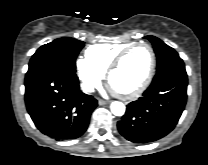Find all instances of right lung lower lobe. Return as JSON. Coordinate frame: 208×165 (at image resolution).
I'll use <instances>...</instances> for the list:
<instances>
[{
    "label": "right lung lower lobe",
    "instance_id": "1",
    "mask_svg": "<svg viewBox=\"0 0 208 165\" xmlns=\"http://www.w3.org/2000/svg\"><path fill=\"white\" fill-rule=\"evenodd\" d=\"M25 103L35 126L56 140L81 136L97 106L95 98L80 91L75 72L60 64L26 74Z\"/></svg>",
    "mask_w": 208,
    "mask_h": 165
}]
</instances>
